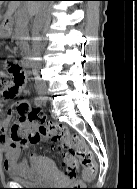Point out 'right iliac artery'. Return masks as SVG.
<instances>
[{"label": "right iliac artery", "mask_w": 137, "mask_h": 189, "mask_svg": "<svg viewBox=\"0 0 137 189\" xmlns=\"http://www.w3.org/2000/svg\"><path fill=\"white\" fill-rule=\"evenodd\" d=\"M36 104L38 106H40L42 104V98L41 97L36 98Z\"/></svg>", "instance_id": "1"}]
</instances>
